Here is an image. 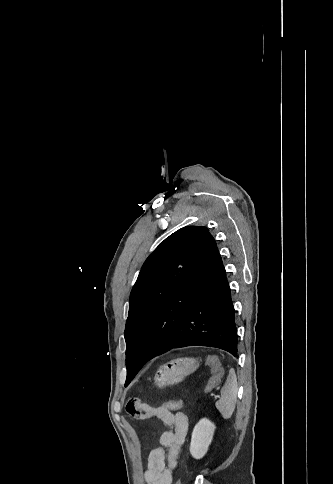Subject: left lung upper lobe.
Listing matches in <instances>:
<instances>
[{
    "instance_id": "5c2ea615",
    "label": "left lung upper lobe",
    "mask_w": 333,
    "mask_h": 484,
    "mask_svg": "<svg viewBox=\"0 0 333 484\" xmlns=\"http://www.w3.org/2000/svg\"><path fill=\"white\" fill-rule=\"evenodd\" d=\"M208 234L206 227H183L166 238L144 262L130 294L124 332L127 368L125 385L131 382L143 366L136 364L135 355L156 310L165 300L173 301L170 296L171 287Z\"/></svg>"
}]
</instances>
